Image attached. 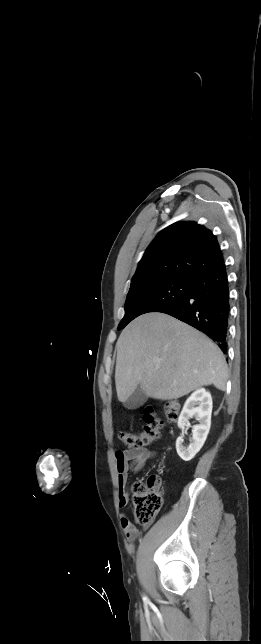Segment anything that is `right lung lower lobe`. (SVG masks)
<instances>
[{"label": "right lung lower lobe", "mask_w": 261, "mask_h": 644, "mask_svg": "<svg viewBox=\"0 0 261 644\" xmlns=\"http://www.w3.org/2000/svg\"><path fill=\"white\" fill-rule=\"evenodd\" d=\"M229 283L224 262L191 280V288L177 304L159 312L204 332L226 353L230 315Z\"/></svg>", "instance_id": "98d812e1"}]
</instances>
